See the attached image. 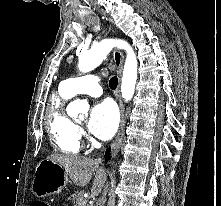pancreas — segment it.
Masks as SVG:
<instances>
[{
    "label": "pancreas",
    "instance_id": "obj_1",
    "mask_svg": "<svg viewBox=\"0 0 221 206\" xmlns=\"http://www.w3.org/2000/svg\"><path fill=\"white\" fill-rule=\"evenodd\" d=\"M70 200L74 202V206H88L87 200L84 197L83 192H75L71 195Z\"/></svg>",
    "mask_w": 221,
    "mask_h": 206
}]
</instances>
